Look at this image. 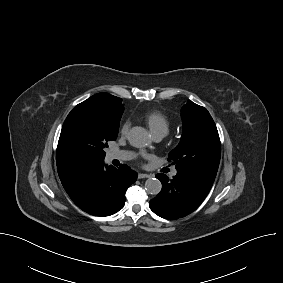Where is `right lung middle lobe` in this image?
Listing matches in <instances>:
<instances>
[{
  "label": "right lung middle lobe",
  "instance_id": "right-lung-middle-lobe-1",
  "mask_svg": "<svg viewBox=\"0 0 283 283\" xmlns=\"http://www.w3.org/2000/svg\"><path fill=\"white\" fill-rule=\"evenodd\" d=\"M123 111L122 99L108 93L95 94L75 106L61 130L57 168H80L104 162V150L108 141L117 138Z\"/></svg>",
  "mask_w": 283,
  "mask_h": 283
}]
</instances>
